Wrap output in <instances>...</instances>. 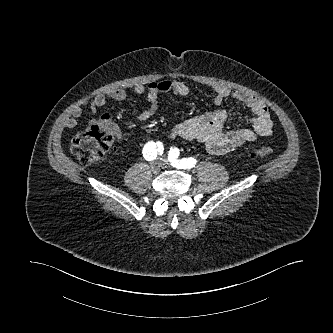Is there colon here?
<instances>
[{
    "label": "colon",
    "mask_w": 333,
    "mask_h": 333,
    "mask_svg": "<svg viewBox=\"0 0 333 333\" xmlns=\"http://www.w3.org/2000/svg\"><path fill=\"white\" fill-rule=\"evenodd\" d=\"M114 141V134L99 124L90 125L85 132L77 134L71 142V150L85 164L99 162L109 151ZM273 149L261 146L253 149L250 155L255 158L271 156Z\"/></svg>",
    "instance_id": "1"
}]
</instances>
